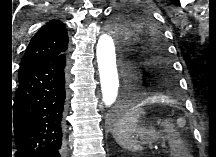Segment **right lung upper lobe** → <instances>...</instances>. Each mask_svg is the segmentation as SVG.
<instances>
[{
  "instance_id": "obj_1",
  "label": "right lung upper lobe",
  "mask_w": 216,
  "mask_h": 157,
  "mask_svg": "<svg viewBox=\"0 0 216 157\" xmlns=\"http://www.w3.org/2000/svg\"><path fill=\"white\" fill-rule=\"evenodd\" d=\"M68 34L65 25L58 20L46 23L30 40L23 57L19 77L44 62L65 54Z\"/></svg>"
}]
</instances>
